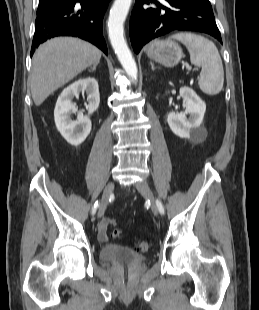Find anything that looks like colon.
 Listing matches in <instances>:
<instances>
[{"instance_id": "5ec220e1", "label": "colon", "mask_w": 259, "mask_h": 310, "mask_svg": "<svg viewBox=\"0 0 259 310\" xmlns=\"http://www.w3.org/2000/svg\"><path fill=\"white\" fill-rule=\"evenodd\" d=\"M106 223L107 226H115L116 225V220L113 219V218H108L104 221ZM121 236V230L120 229H117V228H114L112 230V237L117 239V238H120ZM150 242L148 241H139L135 244V251L137 252H147L149 249H150Z\"/></svg>"}]
</instances>
